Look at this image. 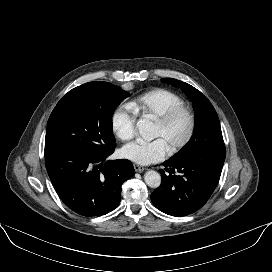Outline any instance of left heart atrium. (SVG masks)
Masks as SVG:
<instances>
[{"label":"left heart atrium","mask_w":272,"mask_h":272,"mask_svg":"<svg viewBox=\"0 0 272 272\" xmlns=\"http://www.w3.org/2000/svg\"><path fill=\"white\" fill-rule=\"evenodd\" d=\"M167 146L161 138L152 141L137 140L122 148V155L138 164L147 165L162 161L167 154Z\"/></svg>","instance_id":"left-heart-atrium-1"}]
</instances>
